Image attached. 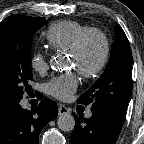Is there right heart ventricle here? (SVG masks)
Instances as JSON below:
<instances>
[{
    "label": "right heart ventricle",
    "mask_w": 144,
    "mask_h": 144,
    "mask_svg": "<svg viewBox=\"0 0 144 144\" xmlns=\"http://www.w3.org/2000/svg\"><path fill=\"white\" fill-rule=\"evenodd\" d=\"M89 29L75 21H59L47 29L45 38L52 49L70 51L80 35Z\"/></svg>",
    "instance_id": "1"
}]
</instances>
